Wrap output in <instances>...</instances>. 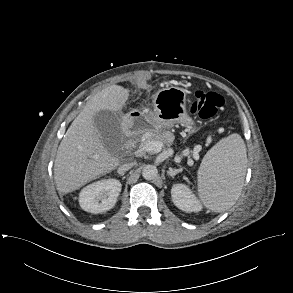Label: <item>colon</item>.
Returning <instances> with one entry per match:
<instances>
[{
  "label": "colon",
  "mask_w": 293,
  "mask_h": 293,
  "mask_svg": "<svg viewBox=\"0 0 293 293\" xmlns=\"http://www.w3.org/2000/svg\"><path fill=\"white\" fill-rule=\"evenodd\" d=\"M224 98L216 92L196 90L190 103V112L204 120L215 118L224 106Z\"/></svg>",
  "instance_id": "5ec220e1"
}]
</instances>
